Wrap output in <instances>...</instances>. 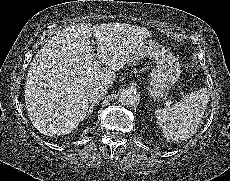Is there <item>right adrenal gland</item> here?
<instances>
[{
  "label": "right adrenal gland",
  "mask_w": 230,
  "mask_h": 181,
  "mask_svg": "<svg viewBox=\"0 0 230 181\" xmlns=\"http://www.w3.org/2000/svg\"><path fill=\"white\" fill-rule=\"evenodd\" d=\"M98 104V101H94L90 104L89 110H88V114L91 115L93 110H94V105Z\"/></svg>",
  "instance_id": "right-adrenal-gland-1"
}]
</instances>
